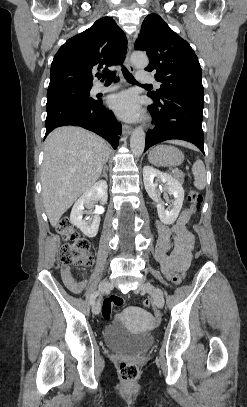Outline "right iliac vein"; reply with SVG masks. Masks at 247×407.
<instances>
[{
    "label": "right iliac vein",
    "mask_w": 247,
    "mask_h": 407,
    "mask_svg": "<svg viewBox=\"0 0 247 407\" xmlns=\"http://www.w3.org/2000/svg\"><path fill=\"white\" fill-rule=\"evenodd\" d=\"M112 288V284L109 281H102L99 285V289L102 292H107ZM101 310V304L100 301H98L92 308V311L94 314H99Z\"/></svg>",
    "instance_id": "63e3f726"
}]
</instances>
